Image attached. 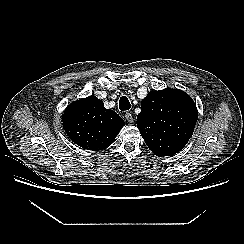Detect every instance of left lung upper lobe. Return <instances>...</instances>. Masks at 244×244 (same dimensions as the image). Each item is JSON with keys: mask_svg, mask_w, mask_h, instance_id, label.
<instances>
[{"mask_svg": "<svg viewBox=\"0 0 244 244\" xmlns=\"http://www.w3.org/2000/svg\"><path fill=\"white\" fill-rule=\"evenodd\" d=\"M198 119L192 98L177 89L149 92L141 102L137 127L157 156H172L184 148Z\"/></svg>", "mask_w": 244, "mask_h": 244, "instance_id": "obj_1", "label": "left lung upper lobe"}]
</instances>
